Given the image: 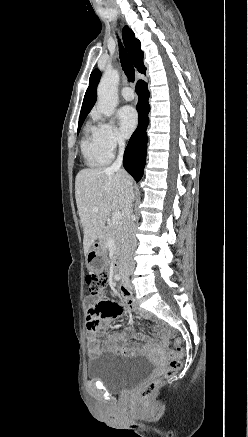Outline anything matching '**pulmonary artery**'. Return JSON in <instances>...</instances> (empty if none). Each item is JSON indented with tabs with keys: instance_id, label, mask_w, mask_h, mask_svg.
I'll list each match as a JSON object with an SVG mask.
<instances>
[{
	"instance_id": "e3ab8cb5",
	"label": "pulmonary artery",
	"mask_w": 248,
	"mask_h": 437,
	"mask_svg": "<svg viewBox=\"0 0 248 437\" xmlns=\"http://www.w3.org/2000/svg\"><path fill=\"white\" fill-rule=\"evenodd\" d=\"M121 95L126 101H131L134 99V93L130 87H124L121 90Z\"/></svg>"
}]
</instances>
